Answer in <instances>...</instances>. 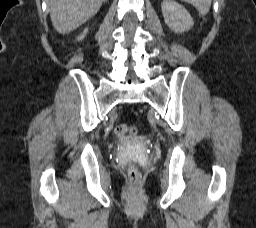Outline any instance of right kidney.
Returning <instances> with one entry per match:
<instances>
[{
  "label": "right kidney",
  "instance_id": "ca27d5eb",
  "mask_svg": "<svg viewBox=\"0 0 256 228\" xmlns=\"http://www.w3.org/2000/svg\"><path fill=\"white\" fill-rule=\"evenodd\" d=\"M87 32H88V29H84V31H83V33L80 35V36H78V40L80 41V40H82L84 37H85V35L87 34Z\"/></svg>",
  "mask_w": 256,
  "mask_h": 228
}]
</instances>
